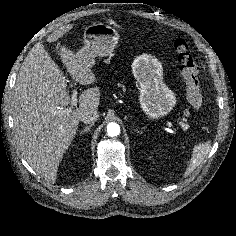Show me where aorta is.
Wrapping results in <instances>:
<instances>
[{
	"mask_svg": "<svg viewBox=\"0 0 236 236\" xmlns=\"http://www.w3.org/2000/svg\"><path fill=\"white\" fill-rule=\"evenodd\" d=\"M107 134L110 137L118 136L120 134V126L117 123H109L107 125Z\"/></svg>",
	"mask_w": 236,
	"mask_h": 236,
	"instance_id": "obj_1",
	"label": "aorta"
}]
</instances>
